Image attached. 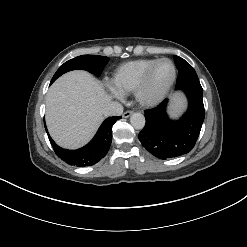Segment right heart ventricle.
Masks as SVG:
<instances>
[{"label":"right heart ventricle","mask_w":247,"mask_h":247,"mask_svg":"<svg viewBox=\"0 0 247 247\" xmlns=\"http://www.w3.org/2000/svg\"><path fill=\"white\" fill-rule=\"evenodd\" d=\"M155 60L144 58L123 63L114 72L111 79L112 87L120 94L134 92L142 74Z\"/></svg>","instance_id":"obj_1"}]
</instances>
